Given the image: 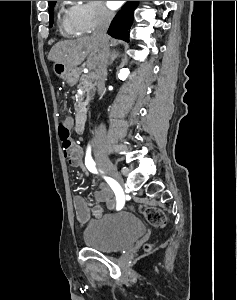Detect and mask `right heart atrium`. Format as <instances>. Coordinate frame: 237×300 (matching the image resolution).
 I'll list each match as a JSON object with an SVG mask.
<instances>
[{"label": "right heart atrium", "instance_id": "right-heart-atrium-1", "mask_svg": "<svg viewBox=\"0 0 237 300\" xmlns=\"http://www.w3.org/2000/svg\"><path fill=\"white\" fill-rule=\"evenodd\" d=\"M75 31L88 34L98 27L110 24L114 19L104 1H86L73 4L69 9Z\"/></svg>", "mask_w": 237, "mask_h": 300}]
</instances>
